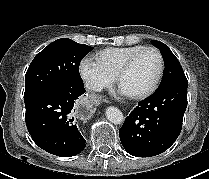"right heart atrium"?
I'll return each mask as SVG.
<instances>
[{
	"label": "right heart atrium",
	"mask_w": 209,
	"mask_h": 179,
	"mask_svg": "<svg viewBox=\"0 0 209 179\" xmlns=\"http://www.w3.org/2000/svg\"><path fill=\"white\" fill-rule=\"evenodd\" d=\"M79 71L86 86L92 91H100L111 85L113 78L108 76L99 65L89 59L84 58L79 65Z\"/></svg>",
	"instance_id": "d8ad5b80"
}]
</instances>
